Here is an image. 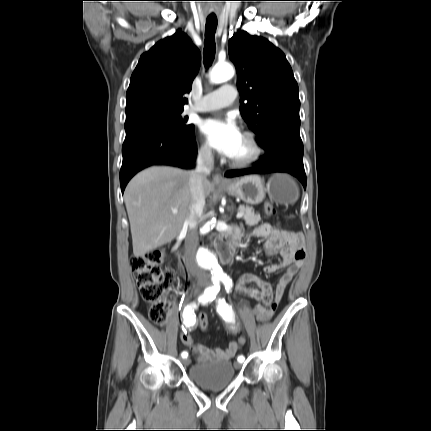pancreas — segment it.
<instances>
[{
	"label": "pancreas",
	"instance_id": "cf45deb5",
	"mask_svg": "<svg viewBox=\"0 0 431 431\" xmlns=\"http://www.w3.org/2000/svg\"><path fill=\"white\" fill-rule=\"evenodd\" d=\"M239 211H242L244 213L243 219L248 226H255L261 221L260 215L255 214L252 207L240 205Z\"/></svg>",
	"mask_w": 431,
	"mask_h": 431
}]
</instances>
